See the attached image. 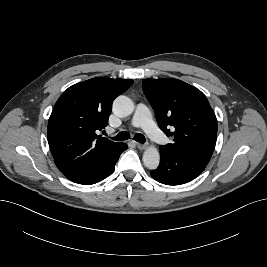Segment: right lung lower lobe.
Instances as JSON below:
<instances>
[{
    "label": "right lung lower lobe",
    "instance_id": "1",
    "mask_svg": "<svg viewBox=\"0 0 267 267\" xmlns=\"http://www.w3.org/2000/svg\"><path fill=\"white\" fill-rule=\"evenodd\" d=\"M126 149L127 145L121 143L111 152L103 153L94 158L58 160L55 161V164L69 180L84 185L95 184L113 172L120 154Z\"/></svg>",
    "mask_w": 267,
    "mask_h": 267
}]
</instances>
